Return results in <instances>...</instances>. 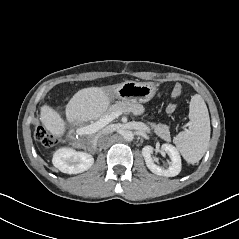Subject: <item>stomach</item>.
<instances>
[{"label": "stomach", "mask_w": 239, "mask_h": 239, "mask_svg": "<svg viewBox=\"0 0 239 239\" xmlns=\"http://www.w3.org/2000/svg\"><path fill=\"white\" fill-rule=\"evenodd\" d=\"M111 99L117 98L123 102L145 103L156 93V86L150 82L125 81L107 88Z\"/></svg>", "instance_id": "1"}]
</instances>
